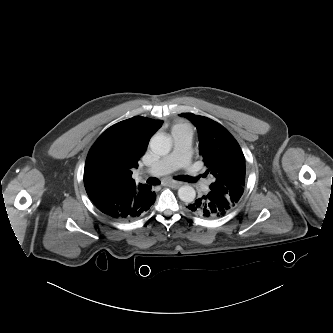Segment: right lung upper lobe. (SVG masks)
<instances>
[{"label":"right lung upper lobe","mask_w":333,"mask_h":333,"mask_svg":"<svg viewBox=\"0 0 333 333\" xmlns=\"http://www.w3.org/2000/svg\"><path fill=\"white\" fill-rule=\"evenodd\" d=\"M162 123L135 116L101 134L85 162L84 185L90 199L105 195L134 197L150 188L146 184H135L132 169L138 167L139 158Z\"/></svg>","instance_id":"right-lung-upper-lobe-1"}]
</instances>
